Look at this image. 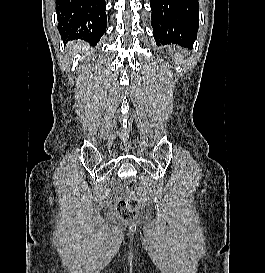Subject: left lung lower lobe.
<instances>
[{
	"instance_id": "obj_1",
	"label": "left lung lower lobe",
	"mask_w": 265,
	"mask_h": 273,
	"mask_svg": "<svg viewBox=\"0 0 265 273\" xmlns=\"http://www.w3.org/2000/svg\"><path fill=\"white\" fill-rule=\"evenodd\" d=\"M156 45L193 48L198 30V0H150Z\"/></svg>"
}]
</instances>
